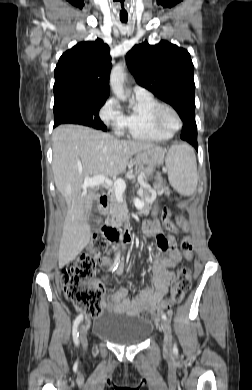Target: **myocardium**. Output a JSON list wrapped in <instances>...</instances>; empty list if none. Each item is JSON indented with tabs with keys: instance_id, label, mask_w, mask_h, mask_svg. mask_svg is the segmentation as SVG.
I'll return each instance as SVG.
<instances>
[{
	"instance_id": "1",
	"label": "myocardium",
	"mask_w": 252,
	"mask_h": 390,
	"mask_svg": "<svg viewBox=\"0 0 252 390\" xmlns=\"http://www.w3.org/2000/svg\"><path fill=\"white\" fill-rule=\"evenodd\" d=\"M165 111H170L174 114L177 119V126L173 129H167L162 123V115ZM151 120L155 128L164 133L174 134L177 132L183 125L182 118L179 112L171 105L160 103L152 112Z\"/></svg>"
}]
</instances>
